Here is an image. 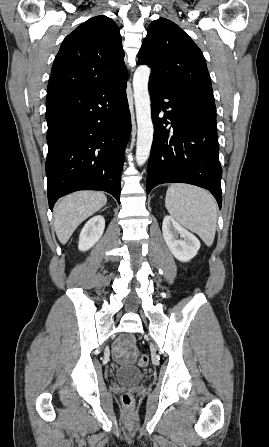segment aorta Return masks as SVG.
Wrapping results in <instances>:
<instances>
[{"instance_id": "762f6f07", "label": "aorta", "mask_w": 269, "mask_h": 447, "mask_svg": "<svg viewBox=\"0 0 269 447\" xmlns=\"http://www.w3.org/2000/svg\"><path fill=\"white\" fill-rule=\"evenodd\" d=\"M151 68L139 66L133 76L134 102L137 120L136 162L143 166L150 156L154 128L151 118V102L148 92Z\"/></svg>"}]
</instances>
